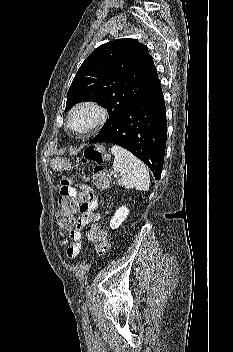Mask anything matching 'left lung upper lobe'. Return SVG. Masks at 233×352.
Masks as SVG:
<instances>
[{
  "mask_svg": "<svg viewBox=\"0 0 233 352\" xmlns=\"http://www.w3.org/2000/svg\"><path fill=\"white\" fill-rule=\"evenodd\" d=\"M159 82L148 48L137 39H116L96 48L82 63L68 90L65 112L85 101L104 106L109 120L100 134Z\"/></svg>",
  "mask_w": 233,
  "mask_h": 352,
  "instance_id": "1",
  "label": "left lung upper lobe"
}]
</instances>
